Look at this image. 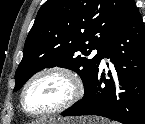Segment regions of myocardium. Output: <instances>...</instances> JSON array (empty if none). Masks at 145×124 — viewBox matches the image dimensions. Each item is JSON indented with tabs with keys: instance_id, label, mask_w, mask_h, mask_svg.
I'll list each match as a JSON object with an SVG mask.
<instances>
[{
	"instance_id": "myocardium-1",
	"label": "myocardium",
	"mask_w": 145,
	"mask_h": 124,
	"mask_svg": "<svg viewBox=\"0 0 145 124\" xmlns=\"http://www.w3.org/2000/svg\"><path fill=\"white\" fill-rule=\"evenodd\" d=\"M47 75H61L65 77L71 85V93L66 100H64L62 103L53 108L38 112L30 111L29 109L26 108L25 105L26 92L34 82H36L41 77ZM83 93H84V84L81 78L77 75V73H75L70 68L64 66H49L37 71L25 82L20 92L19 103L21 110L25 115L31 118H44L61 113L67 110L68 108L72 107L75 103H77L81 99Z\"/></svg>"
}]
</instances>
